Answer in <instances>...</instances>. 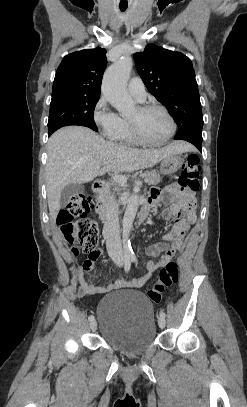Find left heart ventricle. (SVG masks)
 <instances>
[{
    "label": "left heart ventricle",
    "instance_id": "obj_1",
    "mask_svg": "<svg viewBox=\"0 0 247 407\" xmlns=\"http://www.w3.org/2000/svg\"><path fill=\"white\" fill-rule=\"evenodd\" d=\"M128 119L137 124L141 135L150 142L162 141L171 130L168 118L157 109L143 112L137 107Z\"/></svg>",
    "mask_w": 247,
    "mask_h": 407
}]
</instances>
